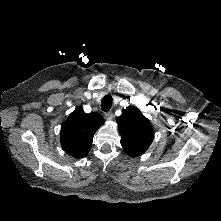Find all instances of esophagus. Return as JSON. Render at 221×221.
<instances>
[{"label":"esophagus","mask_w":221,"mask_h":221,"mask_svg":"<svg viewBox=\"0 0 221 221\" xmlns=\"http://www.w3.org/2000/svg\"><path fill=\"white\" fill-rule=\"evenodd\" d=\"M104 117H105V119L106 120H111V119H113V113L112 112H106L105 114H104Z\"/></svg>","instance_id":"obj_1"}]
</instances>
